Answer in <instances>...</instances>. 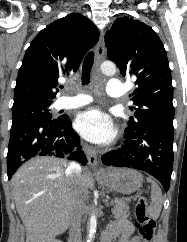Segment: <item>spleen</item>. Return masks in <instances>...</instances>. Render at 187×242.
<instances>
[{
	"instance_id": "1",
	"label": "spleen",
	"mask_w": 187,
	"mask_h": 242,
	"mask_svg": "<svg viewBox=\"0 0 187 242\" xmlns=\"http://www.w3.org/2000/svg\"><path fill=\"white\" fill-rule=\"evenodd\" d=\"M151 183V200L152 204L149 207V215L153 219H157L160 215L163 203V196L160 187L151 178L147 179Z\"/></svg>"
}]
</instances>
